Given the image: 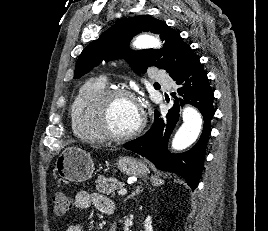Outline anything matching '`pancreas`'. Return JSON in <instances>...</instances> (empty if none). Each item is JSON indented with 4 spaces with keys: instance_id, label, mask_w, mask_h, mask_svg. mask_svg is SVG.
Here are the masks:
<instances>
[{
    "instance_id": "obj_1",
    "label": "pancreas",
    "mask_w": 268,
    "mask_h": 231,
    "mask_svg": "<svg viewBox=\"0 0 268 231\" xmlns=\"http://www.w3.org/2000/svg\"><path fill=\"white\" fill-rule=\"evenodd\" d=\"M96 190L106 195H115V191L123 188L124 184L115 178L99 177L96 181Z\"/></svg>"
}]
</instances>
